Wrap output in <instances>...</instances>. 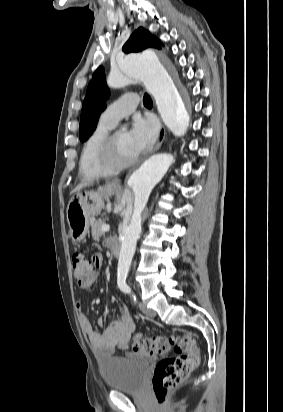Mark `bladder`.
<instances>
[{"mask_svg":"<svg viewBox=\"0 0 283 412\" xmlns=\"http://www.w3.org/2000/svg\"><path fill=\"white\" fill-rule=\"evenodd\" d=\"M148 369L146 362L114 358L101 363V376L109 389L140 392L145 387Z\"/></svg>","mask_w":283,"mask_h":412,"instance_id":"bladder-1","label":"bladder"}]
</instances>
